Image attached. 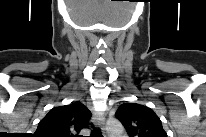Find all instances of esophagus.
I'll return each mask as SVG.
<instances>
[{"label":"esophagus","mask_w":206,"mask_h":137,"mask_svg":"<svg viewBox=\"0 0 206 137\" xmlns=\"http://www.w3.org/2000/svg\"><path fill=\"white\" fill-rule=\"evenodd\" d=\"M95 123L101 129L103 137H107L106 128H105V118L103 116H95Z\"/></svg>","instance_id":"1"}]
</instances>
